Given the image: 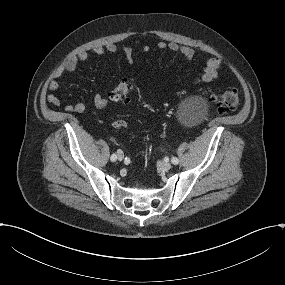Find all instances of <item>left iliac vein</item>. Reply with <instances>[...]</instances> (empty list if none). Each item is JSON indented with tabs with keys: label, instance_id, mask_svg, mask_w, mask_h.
Masks as SVG:
<instances>
[{
	"label": "left iliac vein",
	"instance_id": "left-iliac-vein-1",
	"mask_svg": "<svg viewBox=\"0 0 285 285\" xmlns=\"http://www.w3.org/2000/svg\"><path fill=\"white\" fill-rule=\"evenodd\" d=\"M159 167H160L161 170L167 171V170H169L171 168V164L168 163V162H160L159 163Z\"/></svg>",
	"mask_w": 285,
	"mask_h": 285
}]
</instances>
